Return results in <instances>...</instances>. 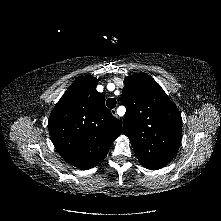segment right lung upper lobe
I'll return each mask as SVG.
<instances>
[{"label":"right lung upper lobe","mask_w":221,"mask_h":221,"mask_svg":"<svg viewBox=\"0 0 221 221\" xmlns=\"http://www.w3.org/2000/svg\"><path fill=\"white\" fill-rule=\"evenodd\" d=\"M92 76L77 78L54 107L48 129L54 146L80 169L97 165L122 132L121 122L105 107Z\"/></svg>","instance_id":"cb5924a9"}]
</instances>
